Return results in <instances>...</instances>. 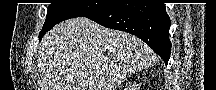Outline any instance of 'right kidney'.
I'll return each instance as SVG.
<instances>
[{
	"mask_svg": "<svg viewBox=\"0 0 216 90\" xmlns=\"http://www.w3.org/2000/svg\"><path fill=\"white\" fill-rule=\"evenodd\" d=\"M130 90H133V86H130ZM135 90H136V88H135Z\"/></svg>",
	"mask_w": 216,
	"mask_h": 90,
	"instance_id": "ca27d5eb",
	"label": "right kidney"
}]
</instances>
